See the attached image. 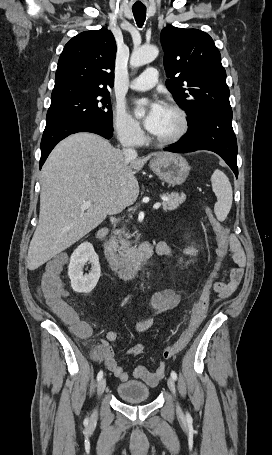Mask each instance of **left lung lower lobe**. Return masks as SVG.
Listing matches in <instances>:
<instances>
[{
    "mask_svg": "<svg viewBox=\"0 0 272 455\" xmlns=\"http://www.w3.org/2000/svg\"><path fill=\"white\" fill-rule=\"evenodd\" d=\"M209 150L220 155L238 177L237 140L232 128V110L207 113L188 123V132L164 151L187 153Z\"/></svg>",
    "mask_w": 272,
    "mask_h": 455,
    "instance_id": "left-lung-lower-lobe-1",
    "label": "left lung lower lobe"
}]
</instances>
